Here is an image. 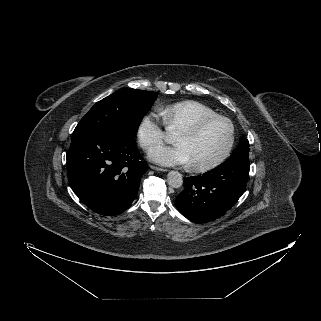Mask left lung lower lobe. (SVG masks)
<instances>
[{"mask_svg": "<svg viewBox=\"0 0 321 321\" xmlns=\"http://www.w3.org/2000/svg\"><path fill=\"white\" fill-rule=\"evenodd\" d=\"M249 157L232 155L202 176L186 179L176 200L179 212L193 222L206 223L224 215L244 193L249 177Z\"/></svg>", "mask_w": 321, "mask_h": 321, "instance_id": "obj_1", "label": "left lung lower lobe"}]
</instances>
